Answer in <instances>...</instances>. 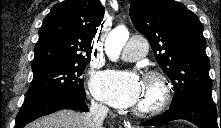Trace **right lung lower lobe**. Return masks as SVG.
Listing matches in <instances>:
<instances>
[{
    "label": "right lung lower lobe",
    "mask_w": 221,
    "mask_h": 128,
    "mask_svg": "<svg viewBox=\"0 0 221 128\" xmlns=\"http://www.w3.org/2000/svg\"><path fill=\"white\" fill-rule=\"evenodd\" d=\"M85 98L69 92H53L34 99L24 100L16 118L15 128H22L31 121L61 109L88 112Z\"/></svg>",
    "instance_id": "obj_1"
}]
</instances>
